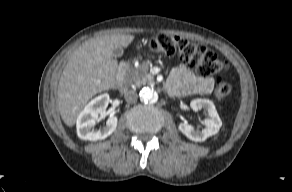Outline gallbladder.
I'll return each mask as SVG.
<instances>
[{"mask_svg":"<svg viewBox=\"0 0 292 192\" xmlns=\"http://www.w3.org/2000/svg\"><path fill=\"white\" fill-rule=\"evenodd\" d=\"M112 54L114 57H121L123 55V49L121 47H116L112 50Z\"/></svg>","mask_w":292,"mask_h":192,"instance_id":"bac80fb5","label":"gallbladder"}]
</instances>
